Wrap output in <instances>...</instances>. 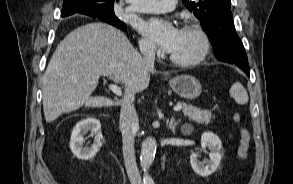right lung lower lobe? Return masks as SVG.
Masks as SVG:
<instances>
[{
	"instance_id": "1",
	"label": "right lung lower lobe",
	"mask_w": 293,
	"mask_h": 184,
	"mask_svg": "<svg viewBox=\"0 0 293 184\" xmlns=\"http://www.w3.org/2000/svg\"><path fill=\"white\" fill-rule=\"evenodd\" d=\"M99 19L102 21H105L113 26H116V27L120 28L121 30H126V25L123 22H121L120 20L119 21H111V20H108L105 18H99Z\"/></svg>"
}]
</instances>
